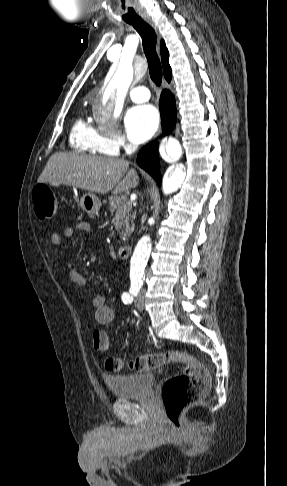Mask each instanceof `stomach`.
I'll use <instances>...</instances> for the list:
<instances>
[{
    "instance_id": "obj_1",
    "label": "stomach",
    "mask_w": 287,
    "mask_h": 486,
    "mask_svg": "<svg viewBox=\"0 0 287 486\" xmlns=\"http://www.w3.org/2000/svg\"><path fill=\"white\" fill-rule=\"evenodd\" d=\"M101 201L99 198L92 192H88L83 194L80 199V206L83 211L93 214L96 213L101 207Z\"/></svg>"
}]
</instances>
